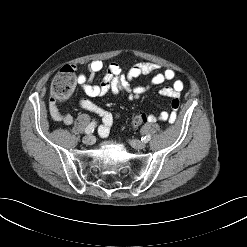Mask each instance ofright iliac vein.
I'll list each match as a JSON object with an SVG mask.
<instances>
[{
    "label": "right iliac vein",
    "mask_w": 247,
    "mask_h": 247,
    "mask_svg": "<svg viewBox=\"0 0 247 247\" xmlns=\"http://www.w3.org/2000/svg\"><path fill=\"white\" fill-rule=\"evenodd\" d=\"M94 137L92 135H87L83 138V142L86 144V145H92L94 144Z\"/></svg>",
    "instance_id": "right-iliac-vein-1"
}]
</instances>
